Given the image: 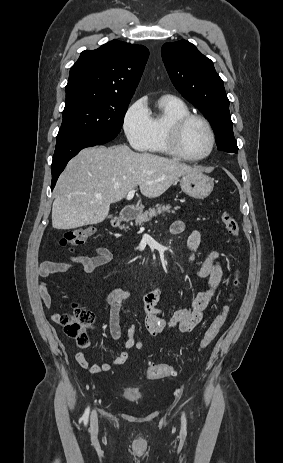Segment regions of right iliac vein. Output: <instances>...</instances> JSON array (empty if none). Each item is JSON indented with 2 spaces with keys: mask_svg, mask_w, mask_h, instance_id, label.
<instances>
[{
  "mask_svg": "<svg viewBox=\"0 0 283 463\" xmlns=\"http://www.w3.org/2000/svg\"><path fill=\"white\" fill-rule=\"evenodd\" d=\"M98 428L97 414L94 411L91 416V431L93 434H96Z\"/></svg>",
  "mask_w": 283,
  "mask_h": 463,
  "instance_id": "right-iliac-vein-1",
  "label": "right iliac vein"
}]
</instances>
